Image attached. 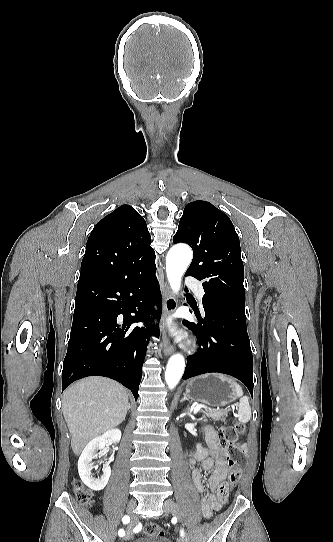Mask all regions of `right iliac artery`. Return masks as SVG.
Returning <instances> with one entry per match:
<instances>
[{
  "label": "right iliac artery",
  "instance_id": "82829eb1",
  "mask_svg": "<svg viewBox=\"0 0 333 542\" xmlns=\"http://www.w3.org/2000/svg\"><path fill=\"white\" fill-rule=\"evenodd\" d=\"M123 523L126 524L130 521V517L129 516H124L123 519H122ZM118 535L120 537H123L125 535V531L123 529H120L119 532H118Z\"/></svg>",
  "mask_w": 333,
  "mask_h": 542
}]
</instances>
